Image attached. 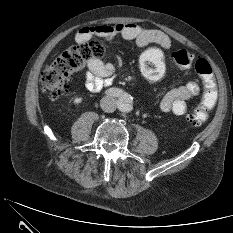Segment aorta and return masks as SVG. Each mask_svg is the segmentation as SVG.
I'll return each instance as SVG.
<instances>
[{
    "mask_svg": "<svg viewBox=\"0 0 233 233\" xmlns=\"http://www.w3.org/2000/svg\"><path fill=\"white\" fill-rule=\"evenodd\" d=\"M119 109L122 112H130L133 109V98L128 94L122 95L120 97Z\"/></svg>",
    "mask_w": 233,
    "mask_h": 233,
    "instance_id": "aorta-1",
    "label": "aorta"
}]
</instances>
